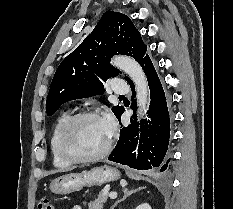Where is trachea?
<instances>
[{
    "instance_id": "trachea-1",
    "label": "trachea",
    "mask_w": 233,
    "mask_h": 209,
    "mask_svg": "<svg viewBox=\"0 0 233 209\" xmlns=\"http://www.w3.org/2000/svg\"><path fill=\"white\" fill-rule=\"evenodd\" d=\"M119 97H124L123 95H120Z\"/></svg>"
}]
</instances>
